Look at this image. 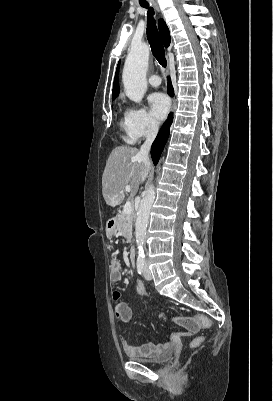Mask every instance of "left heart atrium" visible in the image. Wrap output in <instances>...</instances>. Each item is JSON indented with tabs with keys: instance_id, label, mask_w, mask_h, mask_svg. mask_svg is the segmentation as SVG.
I'll use <instances>...</instances> for the list:
<instances>
[{
	"instance_id": "39dd6f15",
	"label": "left heart atrium",
	"mask_w": 273,
	"mask_h": 401,
	"mask_svg": "<svg viewBox=\"0 0 273 401\" xmlns=\"http://www.w3.org/2000/svg\"><path fill=\"white\" fill-rule=\"evenodd\" d=\"M148 106L151 116L159 122L166 117L170 109V103L167 97L161 93L149 95Z\"/></svg>"
}]
</instances>
